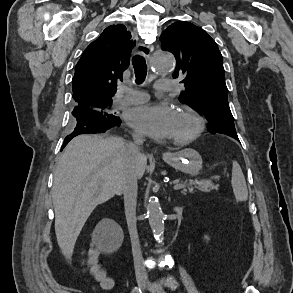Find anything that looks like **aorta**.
<instances>
[{
	"mask_svg": "<svg viewBox=\"0 0 293 293\" xmlns=\"http://www.w3.org/2000/svg\"><path fill=\"white\" fill-rule=\"evenodd\" d=\"M175 66L173 55L167 51L157 50L153 53L151 64L152 71L157 74L170 72ZM147 216L149 225L152 229L155 239L161 241L164 233V214L158 200L152 198L147 206Z\"/></svg>",
	"mask_w": 293,
	"mask_h": 293,
	"instance_id": "762f6f07",
	"label": "aorta"
}]
</instances>
